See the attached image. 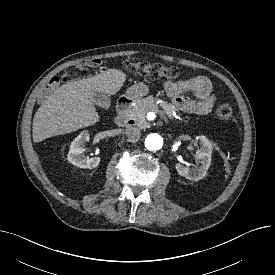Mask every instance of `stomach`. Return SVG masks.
I'll return each mask as SVG.
<instances>
[{
  "mask_svg": "<svg viewBox=\"0 0 275 275\" xmlns=\"http://www.w3.org/2000/svg\"><path fill=\"white\" fill-rule=\"evenodd\" d=\"M149 92L148 86L143 83L135 84L129 87L126 91L125 97L129 100H138Z\"/></svg>",
  "mask_w": 275,
  "mask_h": 275,
  "instance_id": "stomach-1",
  "label": "stomach"
}]
</instances>
